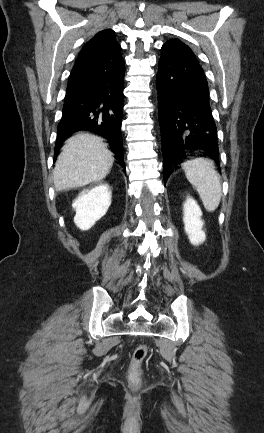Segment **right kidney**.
<instances>
[{
	"mask_svg": "<svg viewBox=\"0 0 264 433\" xmlns=\"http://www.w3.org/2000/svg\"><path fill=\"white\" fill-rule=\"evenodd\" d=\"M112 193L107 184H99L80 192L72 207L76 211L74 223L85 231L89 230L107 212Z\"/></svg>",
	"mask_w": 264,
	"mask_h": 433,
	"instance_id": "ca27d5eb",
	"label": "right kidney"
}]
</instances>
